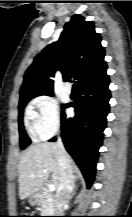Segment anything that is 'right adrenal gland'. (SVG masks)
Instances as JSON below:
<instances>
[{
  "mask_svg": "<svg viewBox=\"0 0 132 217\" xmlns=\"http://www.w3.org/2000/svg\"><path fill=\"white\" fill-rule=\"evenodd\" d=\"M74 187H75V184L73 183V186H72V191L74 190Z\"/></svg>",
  "mask_w": 132,
  "mask_h": 217,
  "instance_id": "obj_1",
  "label": "right adrenal gland"
}]
</instances>
